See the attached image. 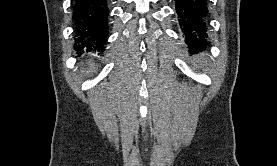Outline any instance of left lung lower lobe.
Segmentation results:
<instances>
[{
  "label": "left lung lower lobe",
  "instance_id": "left-lung-lower-lobe-1",
  "mask_svg": "<svg viewBox=\"0 0 277 166\" xmlns=\"http://www.w3.org/2000/svg\"><path fill=\"white\" fill-rule=\"evenodd\" d=\"M176 13L180 26L184 30L186 43L190 51L195 52L208 45L205 0H175Z\"/></svg>",
  "mask_w": 277,
  "mask_h": 166
}]
</instances>
